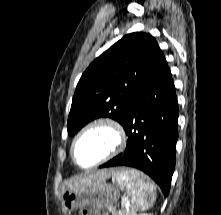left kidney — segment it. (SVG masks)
Wrapping results in <instances>:
<instances>
[{"label":"left kidney","mask_w":221,"mask_h":215,"mask_svg":"<svg viewBox=\"0 0 221 215\" xmlns=\"http://www.w3.org/2000/svg\"><path fill=\"white\" fill-rule=\"evenodd\" d=\"M139 215H153V214H147V213H143V214H139Z\"/></svg>","instance_id":"5707ae66"}]
</instances>
